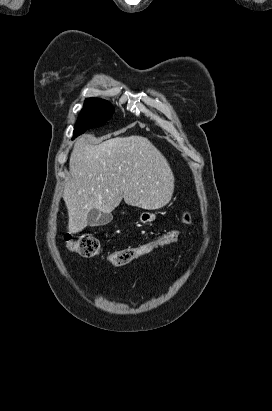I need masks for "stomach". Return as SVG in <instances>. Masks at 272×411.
<instances>
[{
	"mask_svg": "<svg viewBox=\"0 0 272 411\" xmlns=\"http://www.w3.org/2000/svg\"><path fill=\"white\" fill-rule=\"evenodd\" d=\"M156 215L154 213H150V212H142L140 214V222L143 224H146L148 222H151L155 219Z\"/></svg>",
	"mask_w": 272,
	"mask_h": 411,
	"instance_id": "stomach-1",
	"label": "stomach"
}]
</instances>
